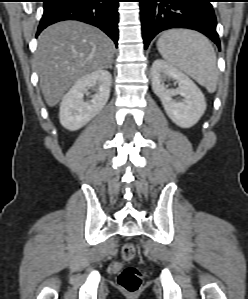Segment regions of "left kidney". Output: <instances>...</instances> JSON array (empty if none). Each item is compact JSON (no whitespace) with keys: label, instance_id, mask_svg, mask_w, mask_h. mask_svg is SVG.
<instances>
[{"label":"left kidney","instance_id":"left-kidney-1","mask_svg":"<svg viewBox=\"0 0 248 299\" xmlns=\"http://www.w3.org/2000/svg\"><path fill=\"white\" fill-rule=\"evenodd\" d=\"M152 89L160 98L168 117L182 128L194 126L206 110L205 97L197 85L184 73L161 59L153 62L151 68ZM172 79L177 88H168L164 82ZM180 95L182 101L174 96Z\"/></svg>","mask_w":248,"mask_h":299}]
</instances>
